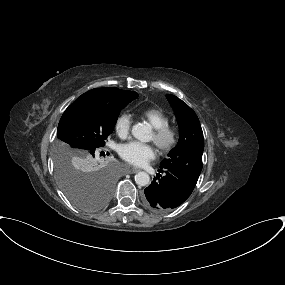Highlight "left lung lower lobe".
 <instances>
[{"instance_id": "obj_1", "label": "left lung lower lobe", "mask_w": 285, "mask_h": 285, "mask_svg": "<svg viewBox=\"0 0 285 285\" xmlns=\"http://www.w3.org/2000/svg\"><path fill=\"white\" fill-rule=\"evenodd\" d=\"M152 183L144 190L145 206L155 212H167L181 205L192 193L197 181L186 174L161 168Z\"/></svg>"}]
</instances>
